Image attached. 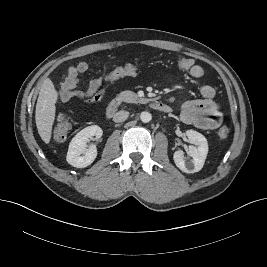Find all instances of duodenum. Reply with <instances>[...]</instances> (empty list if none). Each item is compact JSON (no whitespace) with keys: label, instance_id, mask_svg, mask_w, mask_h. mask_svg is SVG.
I'll list each match as a JSON object with an SVG mask.
<instances>
[{"label":"duodenum","instance_id":"duodenum-1","mask_svg":"<svg viewBox=\"0 0 267 267\" xmlns=\"http://www.w3.org/2000/svg\"><path fill=\"white\" fill-rule=\"evenodd\" d=\"M150 104L152 108L157 111L163 113H168L171 111V107L165 103L159 101H152ZM119 107H120V102L118 100L111 101L106 108V116L108 118H111L119 110Z\"/></svg>","mask_w":267,"mask_h":267}]
</instances>
